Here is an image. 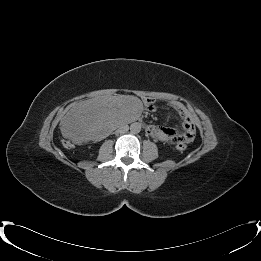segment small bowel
I'll return each mask as SVG.
<instances>
[{"label": "small bowel", "instance_id": "c3829d8e", "mask_svg": "<svg viewBox=\"0 0 261 261\" xmlns=\"http://www.w3.org/2000/svg\"><path fill=\"white\" fill-rule=\"evenodd\" d=\"M152 103V101L147 102V105L150 109L154 108ZM171 106L182 120L183 131L180 132L176 129L160 125H149L147 127V132L152 137L168 143H174L177 139H182L187 143L191 142L194 139L196 133L195 123L191 114L181 103L172 102Z\"/></svg>", "mask_w": 261, "mask_h": 261}]
</instances>
